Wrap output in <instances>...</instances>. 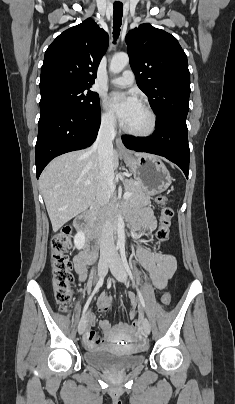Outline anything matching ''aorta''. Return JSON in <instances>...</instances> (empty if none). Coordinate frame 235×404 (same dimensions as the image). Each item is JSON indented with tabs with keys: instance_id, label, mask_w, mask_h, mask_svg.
<instances>
[{
	"instance_id": "obj_1",
	"label": "aorta",
	"mask_w": 235,
	"mask_h": 404,
	"mask_svg": "<svg viewBox=\"0 0 235 404\" xmlns=\"http://www.w3.org/2000/svg\"><path fill=\"white\" fill-rule=\"evenodd\" d=\"M129 63V57L127 53H117L115 54L110 62V71L114 74L121 72ZM117 233H118V245H124L125 242V231H124V221L121 216L117 220Z\"/></svg>"
}]
</instances>
